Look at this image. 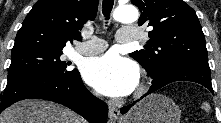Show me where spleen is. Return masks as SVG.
I'll return each mask as SVG.
<instances>
[{
  "label": "spleen",
  "instance_id": "1",
  "mask_svg": "<svg viewBox=\"0 0 221 123\" xmlns=\"http://www.w3.org/2000/svg\"><path fill=\"white\" fill-rule=\"evenodd\" d=\"M202 108L207 112L210 111V106L207 103H203Z\"/></svg>",
  "mask_w": 221,
  "mask_h": 123
}]
</instances>
